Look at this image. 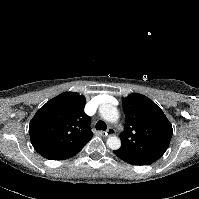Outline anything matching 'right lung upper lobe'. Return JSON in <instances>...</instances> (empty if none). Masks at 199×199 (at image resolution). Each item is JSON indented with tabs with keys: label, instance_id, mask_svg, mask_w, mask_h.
Returning a JSON list of instances; mask_svg holds the SVG:
<instances>
[{
	"label": "right lung upper lobe",
	"instance_id": "cb5924a9",
	"mask_svg": "<svg viewBox=\"0 0 199 199\" xmlns=\"http://www.w3.org/2000/svg\"><path fill=\"white\" fill-rule=\"evenodd\" d=\"M86 99L65 92L48 101L29 124L35 150L51 160L61 159L82 149L93 137L90 117L84 113Z\"/></svg>",
	"mask_w": 199,
	"mask_h": 199
}]
</instances>
